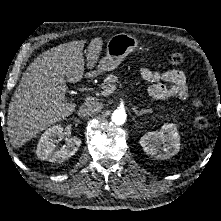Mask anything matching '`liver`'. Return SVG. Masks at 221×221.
Segmentation results:
<instances>
[{"label": "liver", "instance_id": "6515ba94", "mask_svg": "<svg viewBox=\"0 0 221 221\" xmlns=\"http://www.w3.org/2000/svg\"><path fill=\"white\" fill-rule=\"evenodd\" d=\"M84 44L81 40L58 45L28 66L8 107L7 133L14 148L75 111L76 104L65 98L66 80L77 83L83 78ZM102 46L101 37L91 40L86 55L88 69L97 63Z\"/></svg>", "mask_w": 221, "mask_h": 221}]
</instances>
